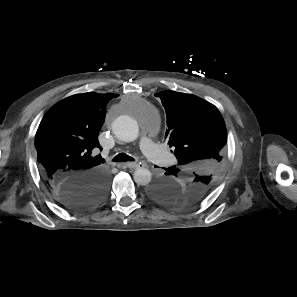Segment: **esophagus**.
<instances>
[{"instance_id": "1", "label": "esophagus", "mask_w": 297, "mask_h": 297, "mask_svg": "<svg viewBox=\"0 0 297 297\" xmlns=\"http://www.w3.org/2000/svg\"><path fill=\"white\" fill-rule=\"evenodd\" d=\"M123 165L128 168H133V169L139 168L141 166V164H139V163H132V162L124 163Z\"/></svg>"}]
</instances>
